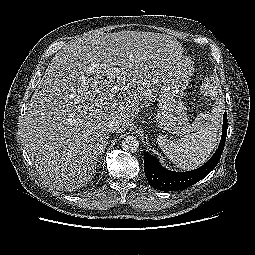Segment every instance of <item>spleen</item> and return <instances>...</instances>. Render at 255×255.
Masks as SVG:
<instances>
[{
  "instance_id": "1",
  "label": "spleen",
  "mask_w": 255,
  "mask_h": 255,
  "mask_svg": "<svg viewBox=\"0 0 255 255\" xmlns=\"http://www.w3.org/2000/svg\"><path fill=\"white\" fill-rule=\"evenodd\" d=\"M222 114L214 109L212 114L202 113L196 118L194 133L179 140L158 136L159 147L179 168L189 170L203 164L217 146L220 136Z\"/></svg>"
}]
</instances>
